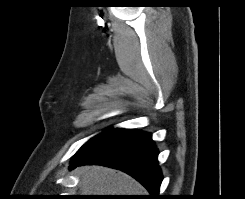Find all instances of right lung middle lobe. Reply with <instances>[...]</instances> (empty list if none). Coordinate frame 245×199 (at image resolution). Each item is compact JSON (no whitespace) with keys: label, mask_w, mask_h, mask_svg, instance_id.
Instances as JSON below:
<instances>
[{"label":"right lung middle lobe","mask_w":245,"mask_h":199,"mask_svg":"<svg viewBox=\"0 0 245 199\" xmlns=\"http://www.w3.org/2000/svg\"><path fill=\"white\" fill-rule=\"evenodd\" d=\"M110 131H112V130H108V131H106V132H103V133L99 134L98 136H95L94 138H92L91 140H89L85 145H83V146L79 149V151L82 150V149H84V148H86V147H88L89 145L95 143L96 141L100 140L102 137H104V136H105L106 134H108Z\"/></svg>","instance_id":"right-lung-middle-lobe-1"}]
</instances>
